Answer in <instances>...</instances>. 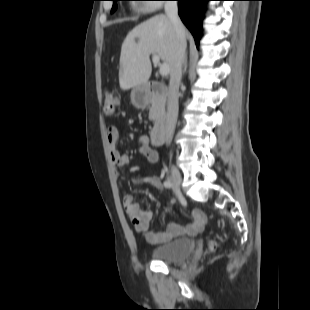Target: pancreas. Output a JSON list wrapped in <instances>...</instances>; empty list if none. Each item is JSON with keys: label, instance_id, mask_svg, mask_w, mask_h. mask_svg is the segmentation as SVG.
Masks as SVG:
<instances>
[{"label": "pancreas", "instance_id": "1", "mask_svg": "<svg viewBox=\"0 0 310 310\" xmlns=\"http://www.w3.org/2000/svg\"><path fill=\"white\" fill-rule=\"evenodd\" d=\"M163 105L160 100L154 98L152 100V105L149 110V119L153 121H157L160 116L163 114Z\"/></svg>", "mask_w": 310, "mask_h": 310}]
</instances>
